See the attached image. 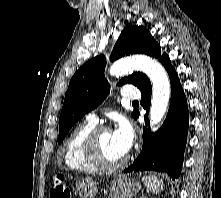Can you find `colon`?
<instances>
[{"label": "colon", "instance_id": "colon-1", "mask_svg": "<svg viewBox=\"0 0 221 198\" xmlns=\"http://www.w3.org/2000/svg\"><path fill=\"white\" fill-rule=\"evenodd\" d=\"M50 198H71L70 187L66 183L63 175L58 174L54 176L50 190Z\"/></svg>", "mask_w": 221, "mask_h": 198}]
</instances>
